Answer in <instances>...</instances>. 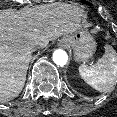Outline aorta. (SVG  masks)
Masks as SVG:
<instances>
[{
	"label": "aorta",
	"mask_w": 117,
	"mask_h": 117,
	"mask_svg": "<svg viewBox=\"0 0 117 117\" xmlns=\"http://www.w3.org/2000/svg\"><path fill=\"white\" fill-rule=\"evenodd\" d=\"M53 61L56 65L64 66L68 61V55L62 49L55 50L53 53Z\"/></svg>",
	"instance_id": "obj_1"
}]
</instances>
